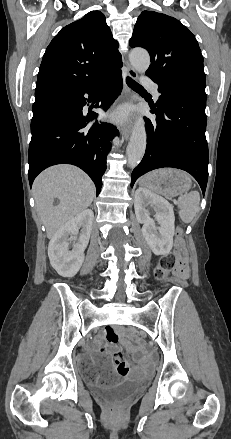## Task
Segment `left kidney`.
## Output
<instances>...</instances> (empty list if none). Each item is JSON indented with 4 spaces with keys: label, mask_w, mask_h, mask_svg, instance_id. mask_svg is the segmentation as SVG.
Listing matches in <instances>:
<instances>
[{
    "label": "left kidney",
    "mask_w": 231,
    "mask_h": 439,
    "mask_svg": "<svg viewBox=\"0 0 231 439\" xmlns=\"http://www.w3.org/2000/svg\"><path fill=\"white\" fill-rule=\"evenodd\" d=\"M155 210V221L150 218L147 206ZM134 208L137 221L143 224L142 234L155 255H166L173 246L175 217L171 205L162 197L146 188H138L135 192Z\"/></svg>",
    "instance_id": "left-kidney-1"
}]
</instances>
